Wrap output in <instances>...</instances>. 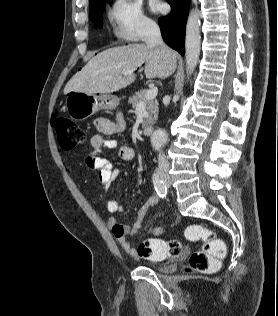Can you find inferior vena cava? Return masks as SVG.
<instances>
[{
  "mask_svg": "<svg viewBox=\"0 0 278 316\" xmlns=\"http://www.w3.org/2000/svg\"><path fill=\"white\" fill-rule=\"evenodd\" d=\"M143 40L148 46H160L162 48H166L159 26L153 22L148 21L145 23L143 27ZM158 162H159V170L161 172H168L169 170V163L163 153H159L158 156Z\"/></svg>",
  "mask_w": 278,
  "mask_h": 316,
  "instance_id": "602c4592",
  "label": "inferior vena cava"
}]
</instances>
